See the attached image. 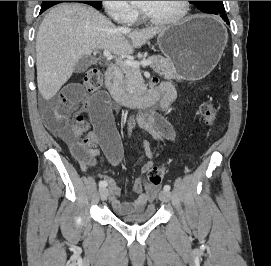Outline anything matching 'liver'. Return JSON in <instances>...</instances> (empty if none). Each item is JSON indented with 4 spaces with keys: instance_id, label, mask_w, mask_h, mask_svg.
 Segmentation results:
<instances>
[{
    "instance_id": "obj_1",
    "label": "liver",
    "mask_w": 271,
    "mask_h": 266,
    "mask_svg": "<svg viewBox=\"0 0 271 266\" xmlns=\"http://www.w3.org/2000/svg\"><path fill=\"white\" fill-rule=\"evenodd\" d=\"M165 28L122 30L91 6L65 3L44 17L36 37L37 83L45 100L54 97L69 80L74 62L95 49L129 55Z\"/></svg>"
}]
</instances>
